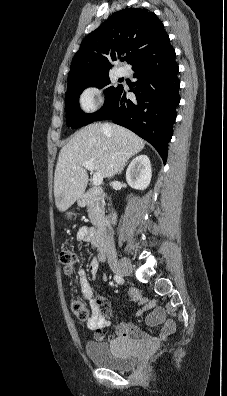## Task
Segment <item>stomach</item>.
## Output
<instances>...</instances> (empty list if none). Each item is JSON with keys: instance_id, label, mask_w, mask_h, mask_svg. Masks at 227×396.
Returning a JSON list of instances; mask_svg holds the SVG:
<instances>
[{"instance_id": "obj_1", "label": "stomach", "mask_w": 227, "mask_h": 396, "mask_svg": "<svg viewBox=\"0 0 227 396\" xmlns=\"http://www.w3.org/2000/svg\"><path fill=\"white\" fill-rule=\"evenodd\" d=\"M71 216V213H67V218H69Z\"/></svg>"}]
</instances>
